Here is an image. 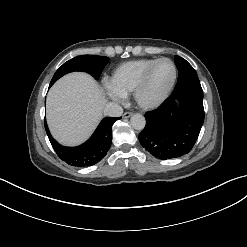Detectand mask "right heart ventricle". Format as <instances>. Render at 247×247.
Listing matches in <instances>:
<instances>
[{
  "label": "right heart ventricle",
  "instance_id": "obj_1",
  "mask_svg": "<svg viewBox=\"0 0 247 247\" xmlns=\"http://www.w3.org/2000/svg\"><path fill=\"white\" fill-rule=\"evenodd\" d=\"M155 58H142L120 64L109 79V84L123 95L133 92L141 74Z\"/></svg>",
  "mask_w": 247,
  "mask_h": 247
}]
</instances>
